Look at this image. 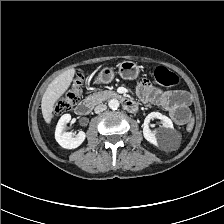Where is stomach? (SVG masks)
<instances>
[{
  "mask_svg": "<svg viewBox=\"0 0 224 224\" xmlns=\"http://www.w3.org/2000/svg\"><path fill=\"white\" fill-rule=\"evenodd\" d=\"M121 78L125 80H135L139 76V67L133 61H123L118 66L117 72ZM115 77V69L112 67H104L96 78L97 83L108 84Z\"/></svg>",
  "mask_w": 224,
  "mask_h": 224,
  "instance_id": "obj_1",
  "label": "stomach"
}]
</instances>
